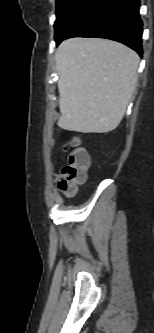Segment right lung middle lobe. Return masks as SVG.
Instances as JSON below:
<instances>
[{
	"label": "right lung middle lobe",
	"mask_w": 154,
	"mask_h": 333,
	"mask_svg": "<svg viewBox=\"0 0 154 333\" xmlns=\"http://www.w3.org/2000/svg\"><path fill=\"white\" fill-rule=\"evenodd\" d=\"M100 0H57L55 41L60 42L78 26L97 6Z\"/></svg>",
	"instance_id": "obj_1"
}]
</instances>
